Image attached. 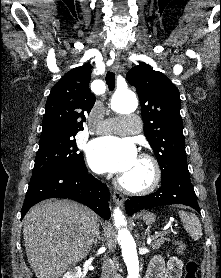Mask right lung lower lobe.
I'll return each mask as SVG.
<instances>
[{"mask_svg": "<svg viewBox=\"0 0 221 278\" xmlns=\"http://www.w3.org/2000/svg\"><path fill=\"white\" fill-rule=\"evenodd\" d=\"M48 198L72 199L85 204L102 218H110L108 188L89 175L86 166L80 171H55L30 182L21 219L33 205Z\"/></svg>", "mask_w": 221, "mask_h": 278, "instance_id": "1", "label": "right lung lower lobe"}]
</instances>
